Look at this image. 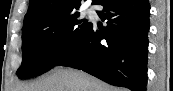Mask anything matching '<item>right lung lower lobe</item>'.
I'll return each instance as SVG.
<instances>
[{"instance_id":"1","label":"right lung lower lobe","mask_w":173,"mask_h":91,"mask_svg":"<svg viewBox=\"0 0 173 91\" xmlns=\"http://www.w3.org/2000/svg\"><path fill=\"white\" fill-rule=\"evenodd\" d=\"M105 28L91 25L83 40L59 63L101 80L146 91L150 6L148 0H98Z\"/></svg>"}]
</instances>
